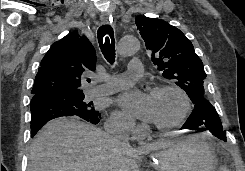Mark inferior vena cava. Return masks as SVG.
I'll return each instance as SVG.
<instances>
[{
	"label": "inferior vena cava",
	"mask_w": 245,
	"mask_h": 171,
	"mask_svg": "<svg viewBox=\"0 0 245 171\" xmlns=\"http://www.w3.org/2000/svg\"><path fill=\"white\" fill-rule=\"evenodd\" d=\"M105 130L115 136V138L124 146H129V136L123 128H118L108 123L104 126Z\"/></svg>",
	"instance_id": "obj_1"
}]
</instances>
